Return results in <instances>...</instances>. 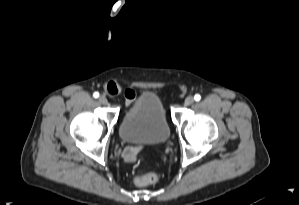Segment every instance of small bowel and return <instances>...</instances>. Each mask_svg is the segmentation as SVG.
<instances>
[{
  "mask_svg": "<svg viewBox=\"0 0 299 205\" xmlns=\"http://www.w3.org/2000/svg\"><path fill=\"white\" fill-rule=\"evenodd\" d=\"M108 91L111 94H117L121 91V89L116 85L114 87L108 86ZM124 95H125V98H126L127 106H130L133 103V101L136 99V93L131 89H126L124 91ZM135 153H136L135 148L127 147L123 152V156L127 160H133L134 157H135Z\"/></svg>",
  "mask_w": 299,
  "mask_h": 205,
  "instance_id": "small-bowel-1",
  "label": "small bowel"
}]
</instances>
